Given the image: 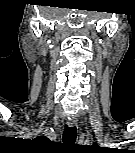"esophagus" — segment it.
<instances>
[{
	"instance_id": "esophagus-1",
	"label": "esophagus",
	"mask_w": 135,
	"mask_h": 153,
	"mask_svg": "<svg viewBox=\"0 0 135 153\" xmlns=\"http://www.w3.org/2000/svg\"><path fill=\"white\" fill-rule=\"evenodd\" d=\"M68 126H76L77 125V120L76 118H69L67 121Z\"/></svg>"
}]
</instances>
